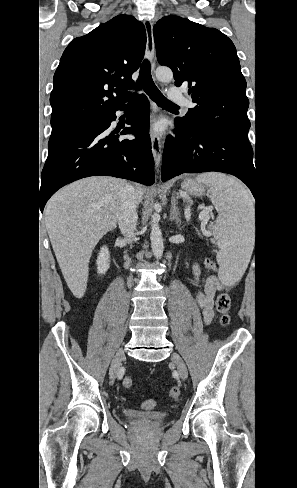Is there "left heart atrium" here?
<instances>
[{
    "instance_id": "39dd6f15",
    "label": "left heart atrium",
    "mask_w": 297,
    "mask_h": 488,
    "mask_svg": "<svg viewBox=\"0 0 297 488\" xmlns=\"http://www.w3.org/2000/svg\"><path fill=\"white\" fill-rule=\"evenodd\" d=\"M163 130H164V128H163L162 124L157 123V124H155V125L153 126V128H152V133H154V134H156V135H160V134H162V133H163Z\"/></svg>"
}]
</instances>
